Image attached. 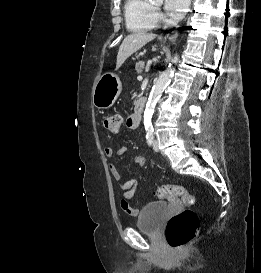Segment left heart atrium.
<instances>
[{
	"mask_svg": "<svg viewBox=\"0 0 261 273\" xmlns=\"http://www.w3.org/2000/svg\"><path fill=\"white\" fill-rule=\"evenodd\" d=\"M189 1L190 0H165L164 6L170 18L179 19L187 9Z\"/></svg>",
	"mask_w": 261,
	"mask_h": 273,
	"instance_id": "obj_1",
	"label": "left heart atrium"
}]
</instances>
